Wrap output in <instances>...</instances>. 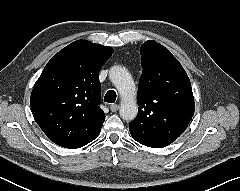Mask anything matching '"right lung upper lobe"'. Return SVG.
I'll return each mask as SVG.
<instances>
[{
	"label": "right lung upper lobe",
	"mask_w": 240,
	"mask_h": 191,
	"mask_svg": "<svg viewBox=\"0 0 240 191\" xmlns=\"http://www.w3.org/2000/svg\"><path fill=\"white\" fill-rule=\"evenodd\" d=\"M112 53L108 46L75 41L52 57L36 81L32 114L57 145L79 147L100 133L105 114L99 107V71Z\"/></svg>",
	"instance_id": "cb5924a9"
}]
</instances>
